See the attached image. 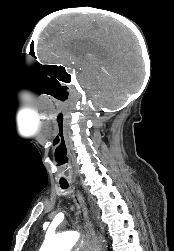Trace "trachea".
Returning <instances> with one entry per match:
<instances>
[{
    "instance_id": "1",
    "label": "trachea",
    "mask_w": 174,
    "mask_h": 251,
    "mask_svg": "<svg viewBox=\"0 0 174 251\" xmlns=\"http://www.w3.org/2000/svg\"><path fill=\"white\" fill-rule=\"evenodd\" d=\"M60 186L62 189H67L69 187V185L65 182H60Z\"/></svg>"
}]
</instances>
